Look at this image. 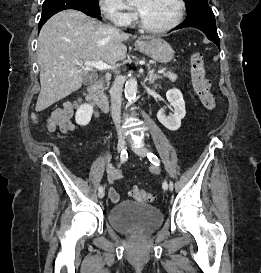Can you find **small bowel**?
<instances>
[{
    "instance_id": "obj_1",
    "label": "small bowel",
    "mask_w": 261,
    "mask_h": 273,
    "mask_svg": "<svg viewBox=\"0 0 261 273\" xmlns=\"http://www.w3.org/2000/svg\"><path fill=\"white\" fill-rule=\"evenodd\" d=\"M80 100L74 102H67L62 107H58L52 111V113L46 119V126L48 131L54 132L57 128L63 133H69L75 129L77 126L71 121L73 110L78 107ZM152 173H156V169H151ZM121 177V173L115 171L111 174V179H118ZM109 199L112 203L116 204L119 201V195L114 189H109L108 191Z\"/></svg>"
}]
</instances>
